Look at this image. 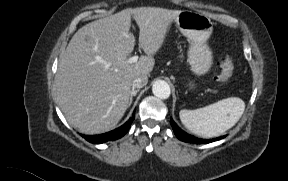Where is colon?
Listing matches in <instances>:
<instances>
[{
  "label": "colon",
  "mask_w": 288,
  "mask_h": 181,
  "mask_svg": "<svg viewBox=\"0 0 288 181\" xmlns=\"http://www.w3.org/2000/svg\"><path fill=\"white\" fill-rule=\"evenodd\" d=\"M234 70V63L231 57L227 56L221 63H220V73L217 75L216 79L222 83L226 84L233 73Z\"/></svg>",
  "instance_id": "1"
}]
</instances>
